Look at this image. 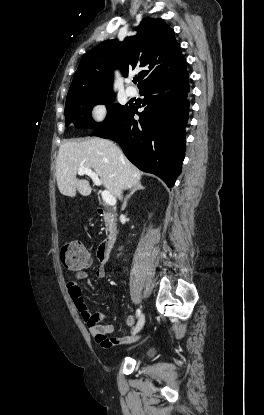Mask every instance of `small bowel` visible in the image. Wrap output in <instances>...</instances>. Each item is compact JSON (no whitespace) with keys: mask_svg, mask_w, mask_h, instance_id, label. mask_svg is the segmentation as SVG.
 Instances as JSON below:
<instances>
[{"mask_svg":"<svg viewBox=\"0 0 264 415\" xmlns=\"http://www.w3.org/2000/svg\"><path fill=\"white\" fill-rule=\"evenodd\" d=\"M86 267L77 268L76 276L66 283L67 290L71 299L74 301L77 310L81 314L83 320L88 324V329L91 335L95 338L97 343L104 348H112L129 344L135 340V335H126L122 337H109L115 332V325L100 324L99 321L105 317L102 313H90L84 303L82 295L81 282L87 279ZM97 279H102L106 276L104 265L100 264L94 273ZM134 317L132 315L123 318V324L126 326L132 325Z\"/></svg>","mask_w":264,"mask_h":415,"instance_id":"1","label":"small bowel"}]
</instances>
